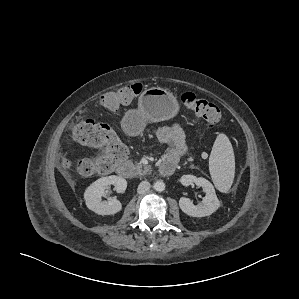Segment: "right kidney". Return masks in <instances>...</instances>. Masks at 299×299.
I'll return each instance as SVG.
<instances>
[{
    "label": "right kidney",
    "mask_w": 299,
    "mask_h": 299,
    "mask_svg": "<svg viewBox=\"0 0 299 299\" xmlns=\"http://www.w3.org/2000/svg\"><path fill=\"white\" fill-rule=\"evenodd\" d=\"M109 185H114L118 193H122L127 188V181L116 175L102 177L93 182L84 193V199L88 209L99 215H114L122 209V204L116 198H109L108 201H102L105 189Z\"/></svg>",
    "instance_id": "1"
}]
</instances>
